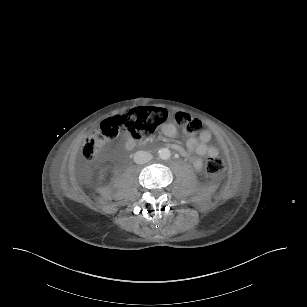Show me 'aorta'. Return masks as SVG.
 Here are the masks:
<instances>
[{
  "label": "aorta",
  "mask_w": 307,
  "mask_h": 307,
  "mask_svg": "<svg viewBox=\"0 0 307 307\" xmlns=\"http://www.w3.org/2000/svg\"><path fill=\"white\" fill-rule=\"evenodd\" d=\"M159 158L162 160H168L171 157V151L168 148H162L158 151Z\"/></svg>",
  "instance_id": "aorta-1"
}]
</instances>
